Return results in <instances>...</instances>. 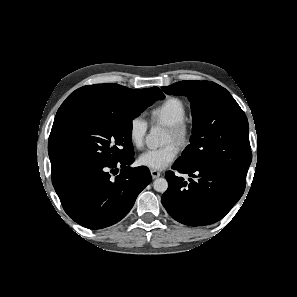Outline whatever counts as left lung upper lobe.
Wrapping results in <instances>:
<instances>
[{
    "label": "left lung upper lobe",
    "mask_w": 297,
    "mask_h": 297,
    "mask_svg": "<svg viewBox=\"0 0 297 297\" xmlns=\"http://www.w3.org/2000/svg\"><path fill=\"white\" fill-rule=\"evenodd\" d=\"M162 90L184 95L191 103V144L175 163L187 168L220 169L245 179L252 160L249 126L231 94L210 81H180Z\"/></svg>",
    "instance_id": "1"
}]
</instances>
